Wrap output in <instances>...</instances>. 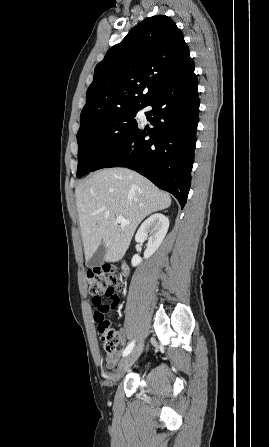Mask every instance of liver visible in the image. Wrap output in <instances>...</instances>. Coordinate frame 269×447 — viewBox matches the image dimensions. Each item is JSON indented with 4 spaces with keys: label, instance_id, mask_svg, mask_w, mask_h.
Here are the masks:
<instances>
[{
    "label": "liver",
    "instance_id": "liver-1",
    "mask_svg": "<svg viewBox=\"0 0 269 447\" xmlns=\"http://www.w3.org/2000/svg\"><path fill=\"white\" fill-rule=\"evenodd\" d=\"M75 196L86 261L100 243L106 247L105 261L122 259L137 225L171 204L167 192L126 168L99 170L77 186ZM117 216L130 224H117Z\"/></svg>",
    "mask_w": 269,
    "mask_h": 447
}]
</instances>
